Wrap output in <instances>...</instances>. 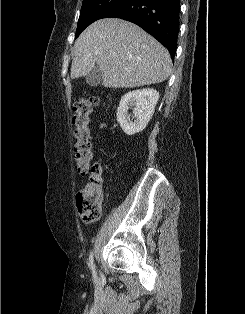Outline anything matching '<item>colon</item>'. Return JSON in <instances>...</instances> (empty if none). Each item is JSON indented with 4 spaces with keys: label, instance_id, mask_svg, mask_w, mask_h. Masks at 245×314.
Returning a JSON list of instances; mask_svg holds the SVG:
<instances>
[{
    "label": "colon",
    "instance_id": "1",
    "mask_svg": "<svg viewBox=\"0 0 245 314\" xmlns=\"http://www.w3.org/2000/svg\"><path fill=\"white\" fill-rule=\"evenodd\" d=\"M99 104L98 96L88 94L74 105L73 124L76 138L74 158L77 171L83 177L81 189L76 196V206L81 221L86 225L100 218L103 201L102 168L98 162H91V113Z\"/></svg>",
    "mask_w": 245,
    "mask_h": 314
}]
</instances>
